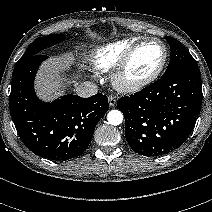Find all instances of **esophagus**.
<instances>
[{"mask_svg": "<svg viewBox=\"0 0 212 212\" xmlns=\"http://www.w3.org/2000/svg\"><path fill=\"white\" fill-rule=\"evenodd\" d=\"M108 102H109V105H110L111 107H114L115 104H116V99H115L114 97H112V96H109Z\"/></svg>", "mask_w": 212, "mask_h": 212, "instance_id": "1", "label": "esophagus"}]
</instances>
